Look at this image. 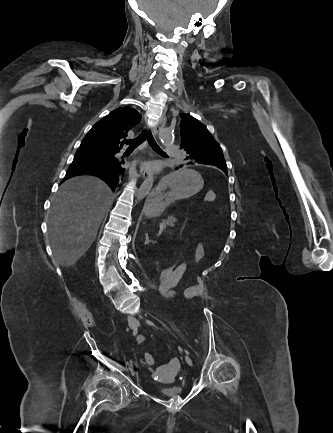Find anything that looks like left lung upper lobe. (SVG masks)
I'll return each instance as SVG.
<instances>
[{"label": "left lung upper lobe", "instance_id": "left-lung-upper-lobe-1", "mask_svg": "<svg viewBox=\"0 0 333 433\" xmlns=\"http://www.w3.org/2000/svg\"><path fill=\"white\" fill-rule=\"evenodd\" d=\"M181 149L187 156L185 164H206L220 168L227 175V165L222 149L213 139L205 125L190 114L181 113ZM178 169V168H177Z\"/></svg>", "mask_w": 333, "mask_h": 433}]
</instances>
